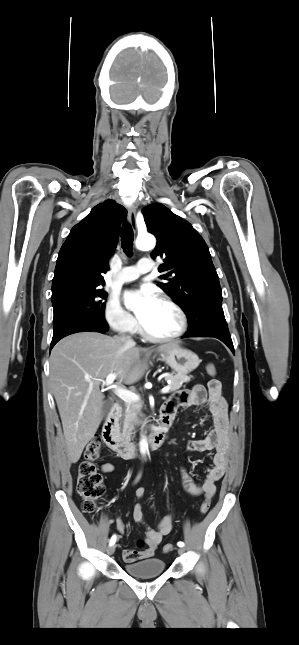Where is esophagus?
Instances as JSON below:
<instances>
[{
  "label": "esophagus",
  "instance_id": "1",
  "mask_svg": "<svg viewBox=\"0 0 299 645\" xmlns=\"http://www.w3.org/2000/svg\"><path fill=\"white\" fill-rule=\"evenodd\" d=\"M128 220L131 226L136 229V208L135 206H130L128 209Z\"/></svg>",
  "mask_w": 299,
  "mask_h": 645
}]
</instances>
